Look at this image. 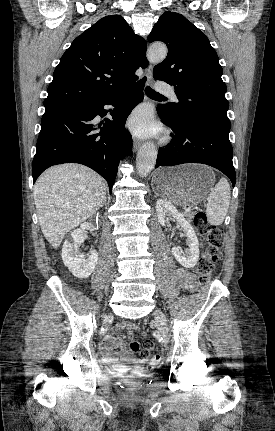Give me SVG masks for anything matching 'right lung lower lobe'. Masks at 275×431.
<instances>
[{"mask_svg": "<svg viewBox=\"0 0 275 431\" xmlns=\"http://www.w3.org/2000/svg\"><path fill=\"white\" fill-rule=\"evenodd\" d=\"M145 81L143 78L106 98L45 109L32 162L33 181L52 165L80 163L104 177L111 192L121 153L129 155L132 151V137L125 122L143 100ZM104 105L116 107L111 112L112 120L96 123V116L107 114Z\"/></svg>", "mask_w": 275, "mask_h": 431, "instance_id": "obj_1", "label": "right lung lower lobe"}]
</instances>
